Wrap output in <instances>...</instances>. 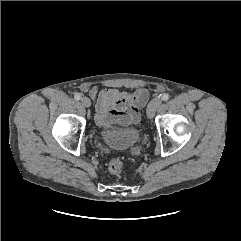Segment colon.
<instances>
[{"mask_svg": "<svg viewBox=\"0 0 241 241\" xmlns=\"http://www.w3.org/2000/svg\"><path fill=\"white\" fill-rule=\"evenodd\" d=\"M123 169V162L119 158H113L108 163V170L112 174H119Z\"/></svg>", "mask_w": 241, "mask_h": 241, "instance_id": "obj_1", "label": "colon"}]
</instances>
